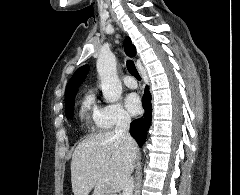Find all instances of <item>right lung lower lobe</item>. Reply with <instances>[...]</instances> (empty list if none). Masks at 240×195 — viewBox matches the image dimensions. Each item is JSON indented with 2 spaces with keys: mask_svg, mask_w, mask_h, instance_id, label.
Returning <instances> with one entry per match:
<instances>
[{
  "mask_svg": "<svg viewBox=\"0 0 240 195\" xmlns=\"http://www.w3.org/2000/svg\"><path fill=\"white\" fill-rule=\"evenodd\" d=\"M142 105L145 110L144 115L134 120L130 126V133L133 138L137 141L139 147H142L146 140L147 131L151 125L152 120V105H151V94L148 86L145 88V93L142 98Z\"/></svg>",
  "mask_w": 240,
  "mask_h": 195,
  "instance_id": "right-lung-lower-lobe-1",
  "label": "right lung lower lobe"
}]
</instances>
